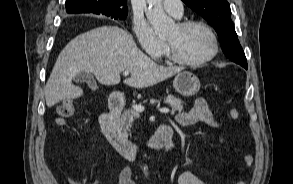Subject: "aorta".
Listing matches in <instances>:
<instances>
[{
	"label": "aorta",
	"instance_id": "1",
	"mask_svg": "<svg viewBox=\"0 0 293 184\" xmlns=\"http://www.w3.org/2000/svg\"><path fill=\"white\" fill-rule=\"evenodd\" d=\"M149 7L146 16L150 24L153 26L155 33L159 36L168 34L174 28V21L168 17L162 6V0H147ZM147 173V168L144 167Z\"/></svg>",
	"mask_w": 293,
	"mask_h": 184
}]
</instances>
